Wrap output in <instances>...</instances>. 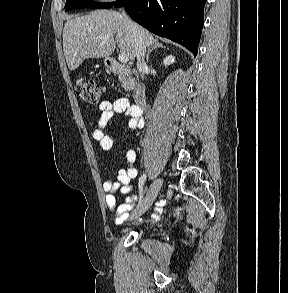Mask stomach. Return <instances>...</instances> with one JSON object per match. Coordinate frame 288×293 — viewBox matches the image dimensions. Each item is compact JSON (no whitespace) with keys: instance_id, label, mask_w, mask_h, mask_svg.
Returning <instances> with one entry per match:
<instances>
[{"instance_id":"obj_1","label":"stomach","mask_w":288,"mask_h":293,"mask_svg":"<svg viewBox=\"0 0 288 293\" xmlns=\"http://www.w3.org/2000/svg\"><path fill=\"white\" fill-rule=\"evenodd\" d=\"M105 65L108 66V60H105Z\"/></svg>"}]
</instances>
